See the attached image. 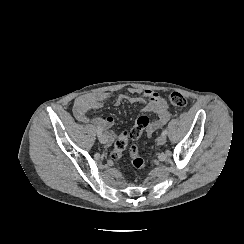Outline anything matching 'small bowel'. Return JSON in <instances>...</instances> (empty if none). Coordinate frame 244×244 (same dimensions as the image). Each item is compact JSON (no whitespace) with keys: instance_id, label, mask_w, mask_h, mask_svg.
<instances>
[{"instance_id":"c3829d8e","label":"small bowel","mask_w":244,"mask_h":244,"mask_svg":"<svg viewBox=\"0 0 244 244\" xmlns=\"http://www.w3.org/2000/svg\"><path fill=\"white\" fill-rule=\"evenodd\" d=\"M131 96L124 99L129 103H142L144 112H152L157 115V119L151 120V125L146 129V133L150 136L158 129L164 126L171 117V111L163 97L156 91L145 89H131ZM112 97L110 92H99L79 96L73 103L74 117L81 123L93 122L104 129L107 141L111 144L115 140V134L112 131L114 118L111 115L90 116L91 111H98L103 107V102ZM117 100L116 103H119Z\"/></svg>"}]
</instances>
